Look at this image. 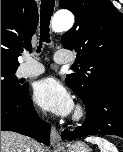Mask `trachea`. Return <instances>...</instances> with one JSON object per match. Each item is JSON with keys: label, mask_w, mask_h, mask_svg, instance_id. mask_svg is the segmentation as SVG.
<instances>
[{"label": "trachea", "mask_w": 123, "mask_h": 152, "mask_svg": "<svg viewBox=\"0 0 123 152\" xmlns=\"http://www.w3.org/2000/svg\"><path fill=\"white\" fill-rule=\"evenodd\" d=\"M55 0H41V10H40V46L37 52H40L42 42H50L49 37V25L51 16L54 10Z\"/></svg>", "instance_id": "3493384b"}]
</instances>
